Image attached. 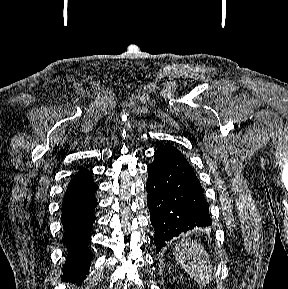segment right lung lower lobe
Instances as JSON below:
<instances>
[{"label":"right lung lower lobe","instance_id":"obj_1","mask_svg":"<svg viewBox=\"0 0 288 289\" xmlns=\"http://www.w3.org/2000/svg\"><path fill=\"white\" fill-rule=\"evenodd\" d=\"M98 190L92 171L81 167L70 180L62 202L61 221L67 248V259L63 266V279L82 281L88 273L92 253L88 248Z\"/></svg>","mask_w":288,"mask_h":289}]
</instances>
